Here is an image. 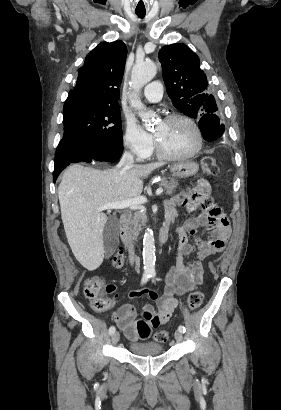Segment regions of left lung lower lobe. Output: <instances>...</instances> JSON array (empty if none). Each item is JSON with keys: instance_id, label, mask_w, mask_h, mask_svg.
<instances>
[{"instance_id": "obj_1", "label": "left lung lower lobe", "mask_w": 281, "mask_h": 410, "mask_svg": "<svg viewBox=\"0 0 281 410\" xmlns=\"http://www.w3.org/2000/svg\"><path fill=\"white\" fill-rule=\"evenodd\" d=\"M199 127L206 141L218 139L224 133L225 127L220 124L217 115L205 114L199 120Z\"/></svg>"}]
</instances>
